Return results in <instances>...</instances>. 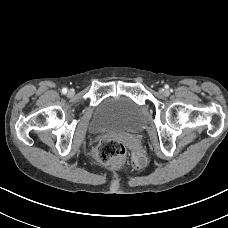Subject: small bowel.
<instances>
[{"label":"small bowel","mask_w":228,"mask_h":228,"mask_svg":"<svg viewBox=\"0 0 228 228\" xmlns=\"http://www.w3.org/2000/svg\"><path fill=\"white\" fill-rule=\"evenodd\" d=\"M132 162L136 168H142L146 164V159L143 154L136 152L132 155Z\"/></svg>","instance_id":"1"}]
</instances>
